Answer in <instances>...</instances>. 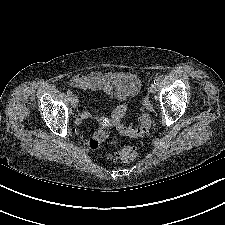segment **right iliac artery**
<instances>
[{"mask_svg": "<svg viewBox=\"0 0 225 225\" xmlns=\"http://www.w3.org/2000/svg\"><path fill=\"white\" fill-rule=\"evenodd\" d=\"M67 95H68L69 97H71V96L73 95L72 91L68 90V91H67Z\"/></svg>", "mask_w": 225, "mask_h": 225, "instance_id": "obj_1", "label": "right iliac artery"}]
</instances>
